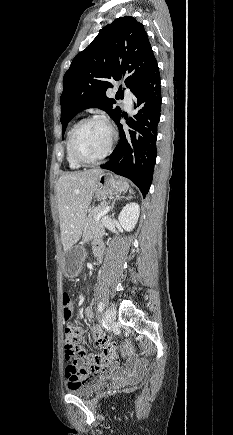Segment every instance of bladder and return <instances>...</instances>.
<instances>
[{
  "instance_id": "obj_1",
  "label": "bladder",
  "mask_w": 233,
  "mask_h": 435,
  "mask_svg": "<svg viewBox=\"0 0 233 435\" xmlns=\"http://www.w3.org/2000/svg\"><path fill=\"white\" fill-rule=\"evenodd\" d=\"M105 381L106 378L98 379L83 386L68 383L66 384L65 388L67 392L72 395L88 397L91 396L98 388H100Z\"/></svg>"
}]
</instances>
